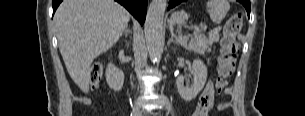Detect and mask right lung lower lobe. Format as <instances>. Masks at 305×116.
Here are the masks:
<instances>
[{"mask_svg":"<svg viewBox=\"0 0 305 116\" xmlns=\"http://www.w3.org/2000/svg\"><path fill=\"white\" fill-rule=\"evenodd\" d=\"M123 5L143 25L146 17L148 0H115ZM62 0H52L53 13Z\"/></svg>","mask_w":305,"mask_h":116,"instance_id":"obj_1","label":"right lung lower lobe"}]
</instances>
